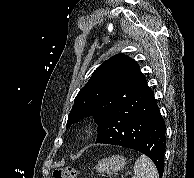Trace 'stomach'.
<instances>
[{
    "mask_svg": "<svg viewBox=\"0 0 194 178\" xmlns=\"http://www.w3.org/2000/svg\"><path fill=\"white\" fill-rule=\"evenodd\" d=\"M127 161L123 155H113L108 158H104L98 161V164L95 166V169L99 173H107L109 175L124 170L126 167Z\"/></svg>",
    "mask_w": 194,
    "mask_h": 178,
    "instance_id": "stomach-1",
    "label": "stomach"
}]
</instances>
